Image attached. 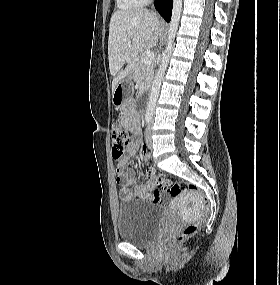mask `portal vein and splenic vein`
Masks as SVG:
<instances>
[{
	"label": "portal vein and splenic vein",
	"mask_w": 280,
	"mask_h": 285,
	"mask_svg": "<svg viewBox=\"0 0 280 285\" xmlns=\"http://www.w3.org/2000/svg\"><path fill=\"white\" fill-rule=\"evenodd\" d=\"M128 47H131V44H129ZM153 59H154V53L151 52V53H148L145 57H143L142 62L144 64H150L152 63Z\"/></svg>",
	"instance_id": "portal-vein-and-splenic-vein-1"
}]
</instances>
